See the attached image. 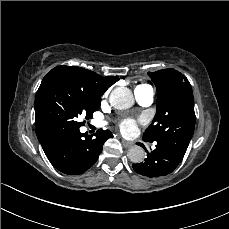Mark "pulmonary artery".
I'll use <instances>...</instances> for the list:
<instances>
[{
	"label": "pulmonary artery",
	"instance_id": "1",
	"mask_svg": "<svg viewBox=\"0 0 229 229\" xmlns=\"http://www.w3.org/2000/svg\"><path fill=\"white\" fill-rule=\"evenodd\" d=\"M134 95L136 101L142 106H149L154 101V90L149 85H142L137 87L134 90ZM94 124L98 127H101L103 124L101 122H94Z\"/></svg>",
	"mask_w": 229,
	"mask_h": 229
}]
</instances>
